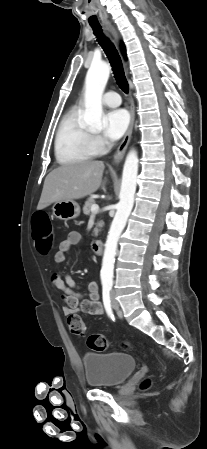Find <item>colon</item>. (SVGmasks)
I'll return each mask as SVG.
<instances>
[{"mask_svg":"<svg viewBox=\"0 0 207 449\" xmlns=\"http://www.w3.org/2000/svg\"><path fill=\"white\" fill-rule=\"evenodd\" d=\"M33 223V238L35 240L36 248L42 255H46L52 248L53 244V229L50 218L45 212H36L32 217ZM70 332L79 337L86 334V326L82 318L78 315H69L67 319ZM88 346L97 351L105 352L109 348L107 338L102 334H92L87 340ZM148 386V381L143 383V387Z\"/></svg>","mask_w":207,"mask_h":449,"instance_id":"obj_1","label":"colon"}]
</instances>
